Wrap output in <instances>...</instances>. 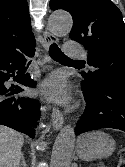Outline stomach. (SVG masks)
Returning <instances> with one entry per match:
<instances>
[{"label": "stomach", "instance_id": "obj_1", "mask_svg": "<svg viewBox=\"0 0 125 167\" xmlns=\"http://www.w3.org/2000/svg\"><path fill=\"white\" fill-rule=\"evenodd\" d=\"M115 148V140L110 135L100 131L80 136L76 146L78 156L85 161L108 157Z\"/></svg>", "mask_w": 125, "mask_h": 167}]
</instances>
